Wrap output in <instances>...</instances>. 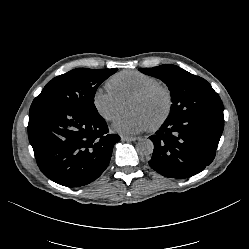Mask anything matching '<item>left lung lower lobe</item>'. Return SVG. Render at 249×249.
I'll return each instance as SVG.
<instances>
[{"label": "left lung lower lobe", "mask_w": 249, "mask_h": 249, "mask_svg": "<svg viewBox=\"0 0 249 249\" xmlns=\"http://www.w3.org/2000/svg\"><path fill=\"white\" fill-rule=\"evenodd\" d=\"M223 127V111L166 119L149 137L154 143L150 167L165 177L182 179L198 174L213 161Z\"/></svg>", "instance_id": "1"}]
</instances>
